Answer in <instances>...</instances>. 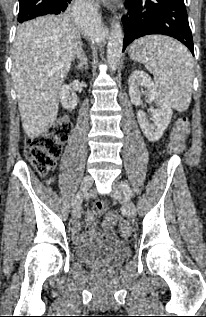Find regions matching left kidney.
Wrapping results in <instances>:
<instances>
[{
	"label": "left kidney",
	"mask_w": 206,
	"mask_h": 317,
	"mask_svg": "<svg viewBox=\"0 0 206 317\" xmlns=\"http://www.w3.org/2000/svg\"><path fill=\"white\" fill-rule=\"evenodd\" d=\"M128 87L130 99L134 105L142 104V95L155 101L157 108L152 111L155 117L153 123L148 120L143 110L138 111L137 118L145 137L151 142L159 140L171 121L173 111L170 105L160 94L152 79L142 71L137 70L130 75Z\"/></svg>",
	"instance_id": "left-kidney-1"
}]
</instances>
